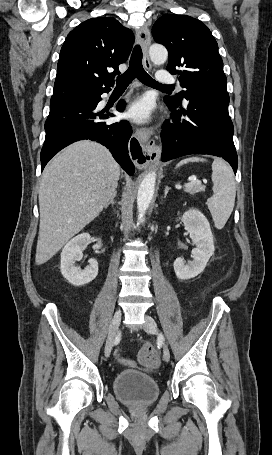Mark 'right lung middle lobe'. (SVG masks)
Returning <instances> with one entry per match:
<instances>
[{
    "mask_svg": "<svg viewBox=\"0 0 272 455\" xmlns=\"http://www.w3.org/2000/svg\"><path fill=\"white\" fill-rule=\"evenodd\" d=\"M92 98L93 97H85V98H78V99H73V100H69V101H65V102L50 103V110H53V109H56V108H59L61 106L68 105V104L82 105Z\"/></svg>",
    "mask_w": 272,
    "mask_h": 455,
    "instance_id": "1",
    "label": "right lung middle lobe"
}]
</instances>
